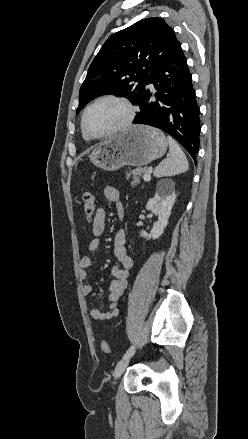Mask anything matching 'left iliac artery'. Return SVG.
<instances>
[{"instance_id": "left-iliac-artery-1", "label": "left iliac artery", "mask_w": 248, "mask_h": 439, "mask_svg": "<svg viewBox=\"0 0 248 439\" xmlns=\"http://www.w3.org/2000/svg\"><path fill=\"white\" fill-rule=\"evenodd\" d=\"M135 348L134 346H131L126 353L124 354L123 358L131 357L134 354Z\"/></svg>"}]
</instances>
